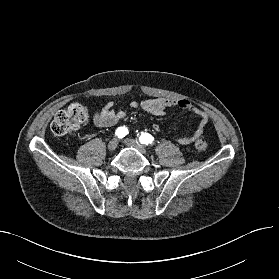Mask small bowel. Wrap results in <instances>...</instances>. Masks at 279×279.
I'll list each match as a JSON object with an SVG mask.
<instances>
[{
    "instance_id": "1",
    "label": "small bowel",
    "mask_w": 279,
    "mask_h": 279,
    "mask_svg": "<svg viewBox=\"0 0 279 279\" xmlns=\"http://www.w3.org/2000/svg\"><path fill=\"white\" fill-rule=\"evenodd\" d=\"M129 107L132 109H142L143 111L154 115L161 116L166 113V110L171 107H178L184 109L191 114L199 118V122L195 127L194 131L187 136L177 137L173 136L172 140L180 145L187 146L192 144L195 140L200 138L204 133L205 125L207 124L209 117L208 114L196 106L194 103L186 99H171L165 97H158L153 99H147L142 102H131ZM127 115L126 109H115L114 102L110 101L106 103L100 111H97L93 115V123L97 127H111L116 125ZM155 131H160L158 124L153 125Z\"/></svg>"
}]
</instances>
